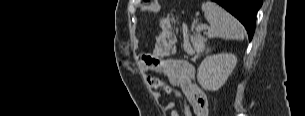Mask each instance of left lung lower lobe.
<instances>
[{
    "label": "left lung lower lobe",
    "instance_id": "1",
    "mask_svg": "<svg viewBox=\"0 0 305 116\" xmlns=\"http://www.w3.org/2000/svg\"><path fill=\"white\" fill-rule=\"evenodd\" d=\"M234 15L246 28L249 40L255 31L256 13L262 0H213Z\"/></svg>",
    "mask_w": 305,
    "mask_h": 116
}]
</instances>
